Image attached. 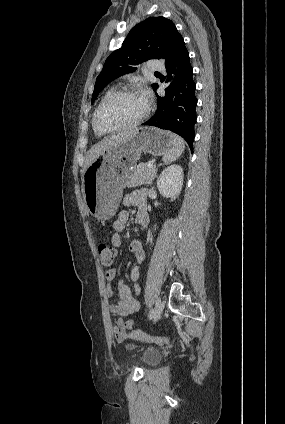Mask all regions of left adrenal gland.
Masks as SVG:
<instances>
[{"label":"left adrenal gland","mask_w":285,"mask_h":424,"mask_svg":"<svg viewBox=\"0 0 285 424\" xmlns=\"http://www.w3.org/2000/svg\"><path fill=\"white\" fill-rule=\"evenodd\" d=\"M161 165H162V164H159V165L157 166L156 171H157L158 167H159V166H161Z\"/></svg>","instance_id":"a2214340"}]
</instances>
